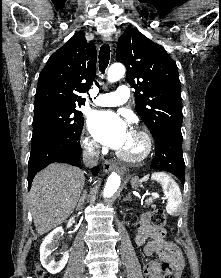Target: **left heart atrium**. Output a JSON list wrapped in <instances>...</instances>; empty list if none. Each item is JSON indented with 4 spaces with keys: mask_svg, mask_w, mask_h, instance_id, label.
I'll return each mask as SVG.
<instances>
[{
    "mask_svg": "<svg viewBox=\"0 0 221 278\" xmlns=\"http://www.w3.org/2000/svg\"><path fill=\"white\" fill-rule=\"evenodd\" d=\"M88 126L97 141L113 149H121L129 139L127 124L112 111L94 112Z\"/></svg>",
    "mask_w": 221,
    "mask_h": 278,
    "instance_id": "obj_1",
    "label": "left heart atrium"
}]
</instances>
